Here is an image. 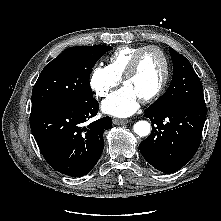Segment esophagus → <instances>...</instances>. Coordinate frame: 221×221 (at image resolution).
Wrapping results in <instances>:
<instances>
[{
    "mask_svg": "<svg viewBox=\"0 0 221 221\" xmlns=\"http://www.w3.org/2000/svg\"><path fill=\"white\" fill-rule=\"evenodd\" d=\"M130 120L128 119H113V124L114 125H123L129 123Z\"/></svg>",
    "mask_w": 221,
    "mask_h": 221,
    "instance_id": "1",
    "label": "esophagus"
}]
</instances>
